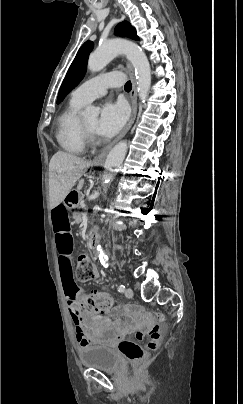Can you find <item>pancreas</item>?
I'll list each match as a JSON object with an SVG mask.
<instances>
[{"label": "pancreas", "instance_id": "pancreas-1", "mask_svg": "<svg viewBox=\"0 0 243 404\" xmlns=\"http://www.w3.org/2000/svg\"><path fill=\"white\" fill-rule=\"evenodd\" d=\"M74 217H75L74 221H75L76 224H82L83 223V220L81 219V216L78 213H75Z\"/></svg>", "mask_w": 243, "mask_h": 404}]
</instances>
